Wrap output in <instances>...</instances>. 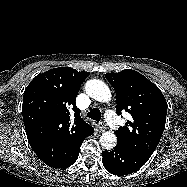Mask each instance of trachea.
Listing matches in <instances>:
<instances>
[{"label": "trachea", "mask_w": 187, "mask_h": 187, "mask_svg": "<svg viewBox=\"0 0 187 187\" xmlns=\"http://www.w3.org/2000/svg\"><path fill=\"white\" fill-rule=\"evenodd\" d=\"M87 117L99 122L101 118V112L98 108H93L92 110H90V112H88Z\"/></svg>", "instance_id": "1"}]
</instances>
